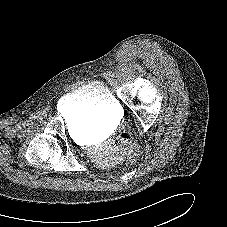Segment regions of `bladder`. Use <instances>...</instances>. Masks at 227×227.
Instances as JSON below:
<instances>
[{"mask_svg": "<svg viewBox=\"0 0 227 227\" xmlns=\"http://www.w3.org/2000/svg\"><path fill=\"white\" fill-rule=\"evenodd\" d=\"M59 106L64 113L75 110L76 125L82 130L107 128L114 124L121 113L120 104L100 81L89 82L67 93Z\"/></svg>", "mask_w": 227, "mask_h": 227, "instance_id": "bladder-1", "label": "bladder"}]
</instances>
